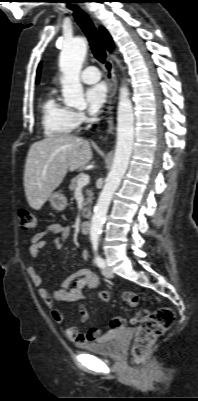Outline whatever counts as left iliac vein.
<instances>
[{"mask_svg": "<svg viewBox=\"0 0 198 401\" xmlns=\"http://www.w3.org/2000/svg\"><path fill=\"white\" fill-rule=\"evenodd\" d=\"M102 274L106 278H112L113 277V272L111 271V269L108 266H104L103 267Z\"/></svg>", "mask_w": 198, "mask_h": 401, "instance_id": "1", "label": "left iliac vein"}]
</instances>
